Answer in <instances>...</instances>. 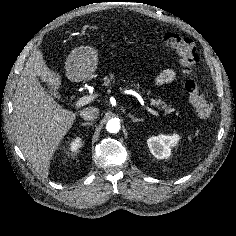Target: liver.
<instances>
[{
	"mask_svg": "<svg viewBox=\"0 0 236 236\" xmlns=\"http://www.w3.org/2000/svg\"><path fill=\"white\" fill-rule=\"evenodd\" d=\"M39 79L58 92L60 75L48 68L41 50L35 49L27 59L15 90L14 130L24 156L40 177L47 178L50 159L72 127L76 113L62 108Z\"/></svg>",
	"mask_w": 236,
	"mask_h": 236,
	"instance_id": "obj_1",
	"label": "liver"
}]
</instances>
